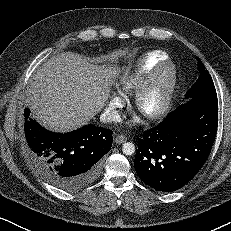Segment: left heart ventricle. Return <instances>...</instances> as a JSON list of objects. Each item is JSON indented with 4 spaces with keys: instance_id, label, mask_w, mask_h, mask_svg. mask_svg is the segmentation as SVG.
Masks as SVG:
<instances>
[{
    "instance_id": "b2bd125f",
    "label": "left heart ventricle",
    "mask_w": 231,
    "mask_h": 231,
    "mask_svg": "<svg viewBox=\"0 0 231 231\" xmlns=\"http://www.w3.org/2000/svg\"><path fill=\"white\" fill-rule=\"evenodd\" d=\"M160 92L161 91H158V92L154 93L153 96L147 101V103H146V109L147 110L150 111V110H153L156 107V105H157V103L159 101Z\"/></svg>"
}]
</instances>
